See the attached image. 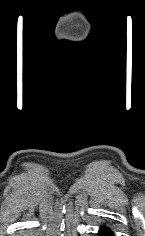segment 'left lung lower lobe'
Instances as JSON below:
<instances>
[{
	"instance_id": "left-lung-lower-lobe-1",
	"label": "left lung lower lobe",
	"mask_w": 145,
	"mask_h": 236,
	"mask_svg": "<svg viewBox=\"0 0 145 236\" xmlns=\"http://www.w3.org/2000/svg\"><path fill=\"white\" fill-rule=\"evenodd\" d=\"M99 236H114V232L112 229L106 225L101 226L99 233Z\"/></svg>"
}]
</instances>
